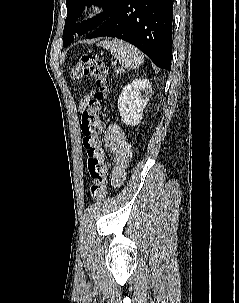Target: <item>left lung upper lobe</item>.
Masks as SVG:
<instances>
[{"label":"left lung upper lobe","mask_w":239,"mask_h":303,"mask_svg":"<svg viewBox=\"0 0 239 303\" xmlns=\"http://www.w3.org/2000/svg\"><path fill=\"white\" fill-rule=\"evenodd\" d=\"M122 0H67V18L63 31V46L69 45L73 40V34L77 33L79 36L98 28L116 9ZM102 6L104 13L96 15L94 18L76 24L78 19L86 6L90 7L92 4Z\"/></svg>","instance_id":"obj_1"}]
</instances>
